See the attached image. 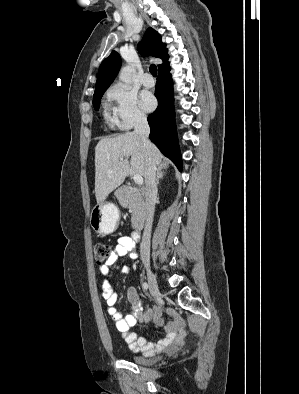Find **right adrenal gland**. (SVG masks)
<instances>
[{
  "label": "right adrenal gland",
  "instance_id": "2a0ac1e0",
  "mask_svg": "<svg viewBox=\"0 0 299 394\" xmlns=\"http://www.w3.org/2000/svg\"><path fill=\"white\" fill-rule=\"evenodd\" d=\"M167 168L166 167H158L157 169V177H156V185L159 184V180L163 179L166 174Z\"/></svg>",
  "mask_w": 299,
  "mask_h": 394
}]
</instances>
